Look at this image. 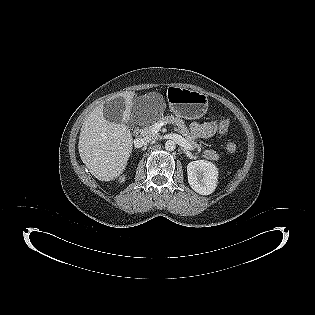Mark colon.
<instances>
[{"label":"colon","instance_id":"5ec220e1","mask_svg":"<svg viewBox=\"0 0 315 315\" xmlns=\"http://www.w3.org/2000/svg\"><path fill=\"white\" fill-rule=\"evenodd\" d=\"M229 128H230V124H229V121L227 119H223L219 122L218 124V130L221 132V133H227L229 131ZM226 149L231 152V153H234L237 151V145L233 142H229L227 143L226 145Z\"/></svg>","mask_w":315,"mask_h":315}]
</instances>
